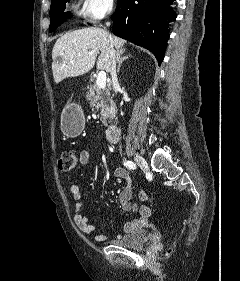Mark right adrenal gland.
<instances>
[{
  "label": "right adrenal gland",
  "mask_w": 240,
  "mask_h": 281,
  "mask_svg": "<svg viewBox=\"0 0 240 281\" xmlns=\"http://www.w3.org/2000/svg\"><path fill=\"white\" fill-rule=\"evenodd\" d=\"M124 53H125V49H123V50H118L117 53H116V60H117V63H118V68H117V72H118V73L120 72V68H121L122 63H123L126 59L132 57L131 54H127V55L123 56Z\"/></svg>",
  "instance_id": "2a0ac1e0"
}]
</instances>
